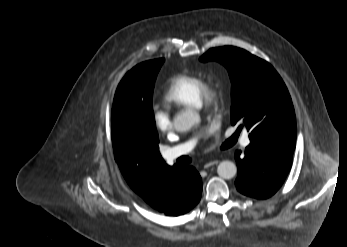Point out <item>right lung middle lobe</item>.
Returning a JSON list of instances; mask_svg holds the SVG:
<instances>
[{
  "instance_id": "obj_1",
  "label": "right lung middle lobe",
  "mask_w": 347,
  "mask_h": 247,
  "mask_svg": "<svg viewBox=\"0 0 347 247\" xmlns=\"http://www.w3.org/2000/svg\"><path fill=\"white\" fill-rule=\"evenodd\" d=\"M164 59L143 62L121 80L112 107V134L125 142L158 148L152 96Z\"/></svg>"
}]
</instances>
